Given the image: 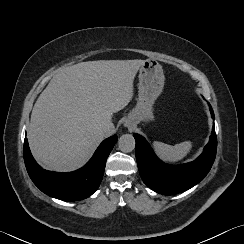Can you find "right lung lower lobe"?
I'll return each mask as SVG.
<instances>
[{"mask_svg":"<svg viewBox=\"0 0 244 244\" xmlns=\"http://www.w3.org/2000/svg\"><path fill=\"white\" fill-rule=\"evenodd\" d=\"M118 137L104 140L90 161L81 169L69 173H57L41 168L34 160L27 138L24 141V161L34 184L45 194L64 201L82 200L92 195L99 187L110 154Z\"/></svg>","mask_w":244,"mask_h":244,"instance_id":"right-lung-lower-lobe-1","label":"right lung lower lobe"}]
</instances>
